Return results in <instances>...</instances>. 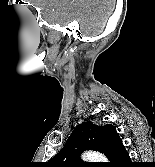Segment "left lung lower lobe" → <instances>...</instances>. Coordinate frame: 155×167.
Instances as JSON below:
<instances>
[{
	"instance_id": "obj_1",
	"label": "left lung lower lobe",
	"mask_w": 155,
	"mask_h": 167,
	"mask_svg": "<svg viewBox=\"0 0 155 167\" xmlns=\"http://www.w3.org/2000/svg\"><path fill=\"white\" fill-rule=\"evenodd\" d=\"M125 164H130V157L121 142L113 152L108 167H125Z\"/></svg>"
}]
</instances>
